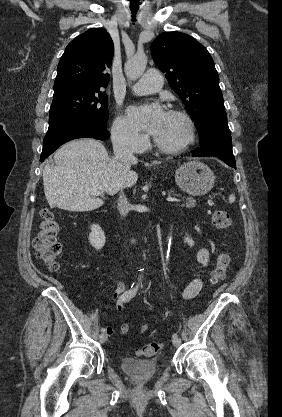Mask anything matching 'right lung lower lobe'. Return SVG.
Instances as JSON below:
<instances>
[{"instance_id": "right-lung-lower-lobe-1", "label": "right lung lower lobe", "mask_w": 282, "mask_h": 417, "mask_svg": "<svg viewBox=\"0 0 282 417\" xmlns=\"http://www.w3.org/2000/svg\"><path fill=\"white\" fill-rule=\"evenodd\" d=\"M86 137L106 140L110 137V133L106 127H102L94 120L83 116L69 117L49 124L48 132L43 141L40 161H44L65 142Z\"/></svg>"}]
</instances>
